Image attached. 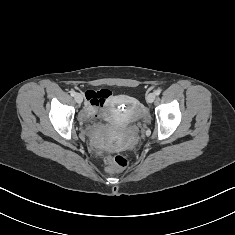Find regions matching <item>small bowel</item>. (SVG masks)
<instances>
[{"mask_svg": "<svg viewBox=\"0 0 235 235\" xmlns=\"http://www.w3.org/2000/svg\"><path fill=\"white\" fill-rule=\"evenodd\" d=\"M86 100V106L81 112V118L87 120L91 117L102 116L104 119L109 120L110 114L104 112V108L108 105H112V99L110 93L106 90L94 91L87 90L84 92ZM106 97V98H104ZM118 100H126L125 97H118Z\"/></svg>", "mask_w": 235, "mask_h": 235, "instance_id": "1", "label": "small bowel"}]
</instances>
